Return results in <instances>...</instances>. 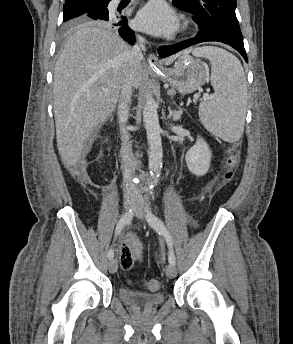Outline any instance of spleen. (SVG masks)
Wrapping results in <instances>:
<instances>
[{"label": "spleen", "mask_w": 293, "mask_h": 344, "mask_svg": "<svg viewBox=\"0 0 293 344\" xmlns=\"http://www.w3.org/2000/svg\"><path fill=\"white\" fill-rule=\"evenodd\" d=\"M211 63L212 100L202 102L199 117L213 135L227 142L240 139L244 131L247 84L240 61L230 52L213 46L190 50Z\"/></svg>", "instance_id": "obj_1"}]
</instances>
